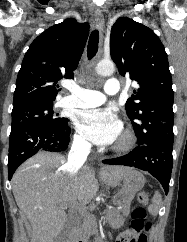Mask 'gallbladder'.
Masks as SVG:
<instances>
[{
  "instance_id": "obj_1",
  "label": "gallbladder",
  "mask_w": 187,
  "mask_h": 242,
  "mask_svg": "<svg viewBox=\"0 0 187 242\" xmlns=\"http://www.w3.org/2000/svg\"><path fill=\"white\" fill-rule=\"evenodd\" d=\"M71 216V215H70ZM67 238V228L63 229L54 242H65Z\"/></svg>"
}]
</instances>
